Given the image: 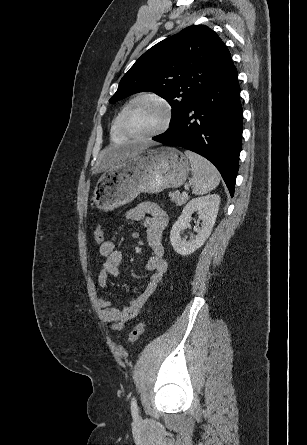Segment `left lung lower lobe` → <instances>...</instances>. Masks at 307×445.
<instances>
[{
  "mask_svg": "<svg viewBox=\"0 0 307 445\" xmlns=\"http://www.w3.org/2000/svg\"><path fill=\"white\" fill-rule=\"evenodd\" d=\"M242 117L237 70L232 62L223 76L205 90L172 127L152 139L207 158L219 170L233 197Z\"/></svg>",
  "mask_w": 307,
  "mask_h": 445,
  "instance_id": "obj_1",
  "label": "left lung lower lobe"
}]
</instances>
